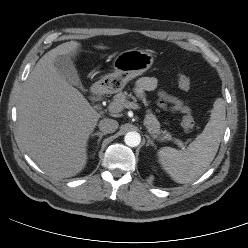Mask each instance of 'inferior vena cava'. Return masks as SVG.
I'll return each mask as SVG.
<instances>
[{
  "label": "inferior vena cava",
  "mask_w": 248,
  "mask_h": 248,
  "mask_svg": "<svg viewBox=\"0 0 248 248\" xmlns=\"http://www.w3.org/2000/svg\"><path fill=\"white\" fill-rule=\"evenodd\" d=\"M118 122L110 118H104L99 122V129L103 133H113L118 129Z\"/></svg>",
  "instance_id": "inferior-vena-cava-1"
}]
</instances>
